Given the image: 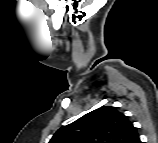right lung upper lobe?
<instances>
[{"mask_svg":"<svg viewBox=\"0 0 158 143\" xmlns=\"http://www.w3.org/2000/svg\"><path fill=\"white\" fill-rule=\"evenodd\" d=\"M137 129L116 107L103 106L61 127L49 143H139Z\"/></svg>","mask_w":158,"mask_h":143,"instance_id":"cb5924a9","label":"right lung upper lobe"}]
</instances>
